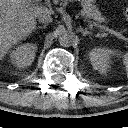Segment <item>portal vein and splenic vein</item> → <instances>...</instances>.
<instances>
[{
	"mask_svg": "<svg viewBox=\"0 0 128 128\" xmlns=\"http://www.w3.org/2000/svg\"><path fill=\"white\" fill-rule=\"evenodd\" d=\"M30 3H33V4H38L41 0H28ZM116 36H118L120 39H123V40H128L127 38H125L124 36H122L121 34L119 33H114Z\"/></svg>",
	"mask_w": 128,
	"mask_h": 128,
	"instance_id": "portal-vein-and-splenic-vein-1",
	"label": "portal vein and splenic vein"
}]
</instances>
